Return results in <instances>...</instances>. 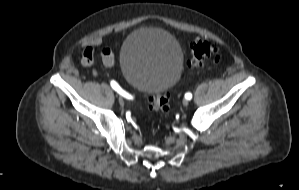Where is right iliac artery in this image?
Instances as JSON below:
<instances>
[{
    "mask_svg": "<svg viewBox=\"0 0 299 190\" xmlns=\"http://www.w3.org/2000/svg\"><path fill=\"white\" fill-rule=\"evenodd\" d=\"M110 84H111V87H112L115 91H117L120 95H122V96H124V97H126V98H128V99H132V96H131L129 93H127L126 91H124V90L118 85V83H117L116 81L112 80Z\"/></svg>",
    "mask_w": 299,
    "mask_h": 190,
    "instance_id": "obj_1",
    "label": "right iliac artery"
}]
</instances>
